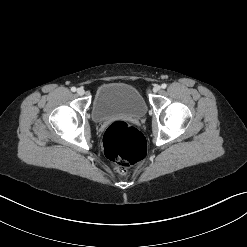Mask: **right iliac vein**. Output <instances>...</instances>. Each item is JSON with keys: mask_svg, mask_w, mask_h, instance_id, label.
Wrapping results in <instances>:
<instances>
[{"mask_svg": "<svg viewBox=\"0 0 247 247\" xmlns=\"http://www.w3.org/2000/svg\"><path fill=\"white\" fill-rule=\"evenodd\" d=\"M84 93H85V91H84L83 88H78V89H77V94H78V95L82 96V95H84Z\"/></svg>", "mask_w": 247, "mask_h": 247, "instance_id": "63e3f726", "label": "right iliac vein"}]
</instances>
